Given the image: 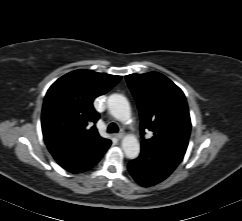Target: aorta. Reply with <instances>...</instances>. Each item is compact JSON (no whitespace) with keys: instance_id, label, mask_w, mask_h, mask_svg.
<instances>
[{"instance_id":"aorta-1","label":"aorta","mask_w":242,"mask_h":221,"mask_svg":"<svg viewBox=\"0 0 242 221\" xmlns=\"http://www.w3.org/2000/svg\"><path fill=\"white\" fill-rule=\"evenodd\" d=\"M108 109L111 115L121 122L130 119L131 109L126 97L120 94H112L108 98ZM122 149L129 159H135L140 153V144L134 135H127L122 140Z\"/></svg>"}]
</instances>
